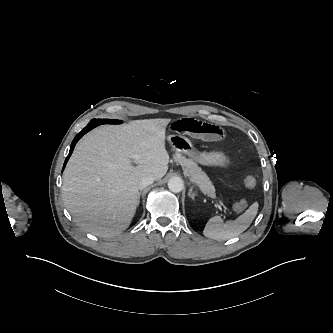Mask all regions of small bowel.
Here are the masks:
<instances>
[{
  "label": "small bowel",
  "instance_id": "c3829d8e",
  "mask_svg": "<svg viewBox=\"0 0 333 333\" xmlns=\"http://www.w3.org/2000/svg\"><path fill=\"white\" fill-rule=\"evenodd\" d=\"M170 129L176 134L188 135L203 141H218L225 136L221 127L194 118L177 119L170 124Z\"/></svg>",
  "mask_w": 333,
  "mask_h": 333
}]
</instances>
